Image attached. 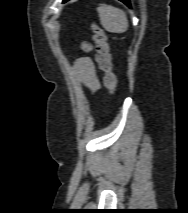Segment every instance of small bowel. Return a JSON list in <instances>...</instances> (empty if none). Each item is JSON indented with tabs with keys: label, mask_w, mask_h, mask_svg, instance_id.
I'll return each instance as SVG.
<instances>
[{
	"label": "small bowel",
	"mask_w": 188,
	"mask_h": 213,
	"mask_svg": "<svg viewBox=\"0 0 188 213\" xmlns=\"http://www.w3.org/2000/svg\"><path fill=\"white\" fill-rule=\"evenodd\" d=\"M82 48L85 51H90L92 46L88 43H83ZM75 71L81 83L89 91L94 93L100 89L101 81L91 58L87 56L77 58L75 61Z\"/></svg>",
	"instance_id": "obj_1"
}]
</instances>
